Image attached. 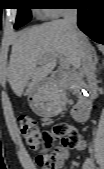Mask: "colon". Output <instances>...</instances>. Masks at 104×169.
<instances>
[{
  "instance_id": "obj_1",
  "label": "colon",
  "mask_w": 104,
  "mask_h": 169,
  "mask_svg": "<svg viewBox=\"0 0 104 169\" xmlns=\"http://www.w3.org/2000/svg\"><path fill=\"white\" fill-rule=\"evenodd\" d=\"M19 133L32 150L40 151L36 163L41 169H55L56 155L50 147L56 139H61L68 147H74L79 139L77 130L68 123H59L41 131L36 121L28 116L19 119Z\"/></svg>"
}]
</instances>
